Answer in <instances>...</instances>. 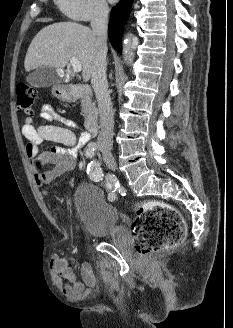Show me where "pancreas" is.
I'll use <instances>...</instances> for the list:
<instances>
[{"instance_id": "pancreas-1", "label": "pancreas", "mask_w": 233, "mask_h": 328, "mask_svg": "<svg viewBox=\"0 0 233 328\" xmlns=\"http://www.w3.org/2000/svg\"><path fill=\"white\" fill-rule=\"evenodd\" d=\"M82 113L84 116H91L97 113L95 102L88 95L81 96Z\"/></svg>"}]
</instances>
